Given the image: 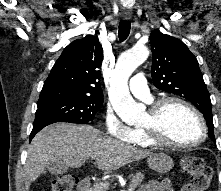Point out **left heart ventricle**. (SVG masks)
Masks as SVG:
<instances>
[{"label":"left heart ventricle","instance_id":"1","mask_svg":"<svg viewBox=\"0 0 221 191\" xmlns=\"http://www.w3.org/2000/svg\"><path fill=\"white\" fill-rule=\"evenodd\" d=\"M148 120L147 114L142 125L146 124ZM163 126L166 138L173 142L190 143L201 136V127L197 118L178 104H170L166 107Z\"/></svg>","mask_w":221,"mask_h":191}]
</instances>
